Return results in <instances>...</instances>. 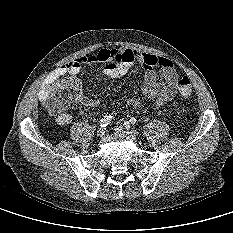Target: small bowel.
Here are the masks:
<instances>
[{"instance_id":"small-bowel-1","label":"small bowel","mask_w":233,"mask_h":233,"mask_svg":"<svg viewBox=\"0 0 233 233\" xmlns=\"http://www.w3.org/2000/svg\"><path fill=\"white\" fill-rule=\"evenodd\" d=\"M105 63L104 72L110 78L124 76L134 65L139 64L145 71V79L142 87L144 95L155 99V105L161 106L171 101L178 93V74L171 60L156 55L139 52L128 48H102L96 53L86 54L61 65L55 72L56 77L75 75L82 67L89 63ZM57 83H47L39 93V99L49 107L50 96ZM77 103L87 108L97 107L101 99L90 98L80 94ZM129 104L138 108L140 100L133 96L129 98ZM59 124L67 125L72 121L69 113H55ZM88 116L87 111L82 112Z\"/></svg>"}]
</instances>
